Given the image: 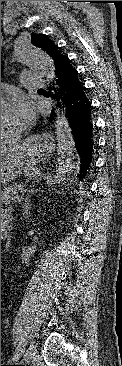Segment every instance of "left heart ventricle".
Here are the masks:
<instances>
[{
    "mask_svg": "<svg viewBox=\"0 0 122 366\" xmlns=\"http://www.w3.org/2000/svg\"><path fill=\"white\" fill-rule=\"evenodd\" d=\"M20 126V119L16 113L15 103L1 107V138L17 135Z\"/></svg>",
    "mask_w": 122,
    "mask_h": 366,
    "instance_id": "1",
    "label": "left heart ventricle"
}]
</instances>
